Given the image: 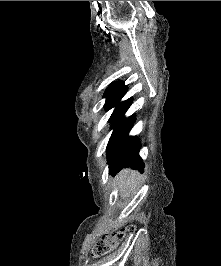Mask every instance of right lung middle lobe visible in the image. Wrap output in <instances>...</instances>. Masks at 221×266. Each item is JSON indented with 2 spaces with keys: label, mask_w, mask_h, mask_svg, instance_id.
<instances>
[{
  "label": "right lung middle lobe",
  "mask_w": 221,
  "mask_h": 266,
  "mask_svg": "<svg viewBox=\"0 0 221 266\" xmlns=\"http://www.w3.org/2000/svg\"><path fill=\"white\" fill-rule=\"evenodd\" d=\"M127 89L126 87L114 88L106 90L104 97L106 98L105 107L107 110L116 107L112 113L109 121L112 123V128L115 129L118 127L120 122L123 120L125 112L128 110L129 106L132 103V98H129L123 102H120L122 97L125 95Z\"/></svg>",
  "instance_id": "right-lung-middle-lobe-1"
}]
</instances>
